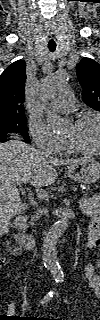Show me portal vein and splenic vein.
<instances>
[{"label":"portal vein and splenic vein","mask_w":100,"mask_h":320,"mask_svg":"<svg viewBox=\"0 0 100 320\" xmlns=\"http://www.w3.org/2000/svg\"><path fill=\"white\" fill-rule=\"evenodd\" d=\"M20 183H26V182L25 181H17L16 182L17 185ZM35 191L39 197L48 198V192L45 191L44 189H40L39 187H36Z\"/></svg>","instance_id":"18ae733b"}]
</instances>
